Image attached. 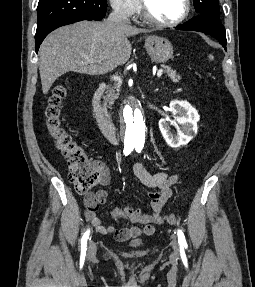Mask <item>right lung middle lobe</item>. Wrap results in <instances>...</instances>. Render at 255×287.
<instances>
[{"instance_id": "1", "label": "right lung middle lobe", "mask_w": 255, "mask_h": 287, "mask_svg": "<svg viewBox=\"0 0 255 287\" xmlns=\"http://www.w3.org/2000/svg\"><path fill=\"white\" fill-rule=\"evenodd\" d=\"M106 10L107 0H39L38 25L68 16L101 20Z\"/></svg>"}]
</instances>
